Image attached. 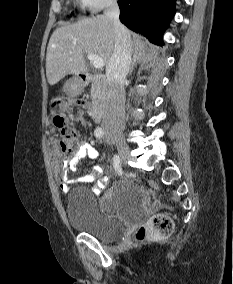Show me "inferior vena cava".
Here are the masks:
<instances>
[{"mask_svg":"<svg viewBox=\"0 0 233 284\" xmlns=\"http://www.w3.org/2000/svg\"><path fill=\"white\" fill-rule=\"evenodd\" d=\"M119 14L120 10L117 0H109L104 11V16L113 21L116 37L114 53L106 66L109 88L102 127L108 133L120 132L124 129V82L131 65V37L129 31L120 22Z\"/></svg>","mask_w":233,"mask_h":284,"instance_id":"602c4592","label":"inferior vena cava"}]
</instances>
